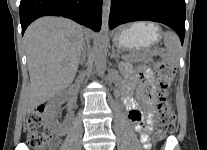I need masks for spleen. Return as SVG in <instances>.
<instances>
[{
    "instance_id": "obj_1",
    "label": "spleen",
    "mask_w": 207,
    "mask_h": 150,
    "mask_svg": "<svg viewBox=\"0 0 207 150\" xmlns=\"http://www.w3.org/2000/svg\"><path fill=\"white\" fill-rule=\"evenodd\" d=\"M164 44L167 50V63L171 67H176L180 58V40L178 36L171 31L164 33Z\"/></svg>"
}]
</instances>
